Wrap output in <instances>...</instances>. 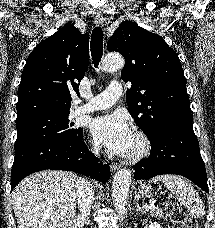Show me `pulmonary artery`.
<instances>
[{
  "label": "pulmonary artery",
  "mask_w": 215,
  "mask_h": 228,
  "mask_svg": "<svg viewBox=\"0 0 215 228\" xmlns=\"http://www.w3.org/2000/svg\"><path fill=\"white\" fill-rule=\"evenodd\" d=\"M106 89L94 97L89 103L77 107L75 113L83 114L95 110L106 109L116 103L122 95V84H106Z\"/></svg>",
  "instance_id": "1"
}]
</instances>
